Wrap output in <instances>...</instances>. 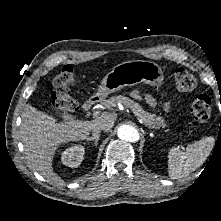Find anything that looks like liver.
<instances>
[{
  "label": "liver",
  "mask_w": 221,
  "mask_h": 221,
  "mask_svg": "<svg viewBox=\"0 0 221 221\" xmlns=\"http://www.w3.org/2000/svg\"><path fill=\"white\" fill-rule=\"evenodd\" d=\"M117 119L115 113L104 112L92 121L70 120L57 123L52 115L27 104L22 112L21 138L31 168L46 179L61 182L53 172L52 160L58 146L70 141L87 139L96 125L103 124L110 131Z\"/></svg>",
  "instance_id": "6515ba94"
}]
</instances>
